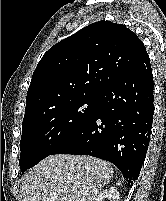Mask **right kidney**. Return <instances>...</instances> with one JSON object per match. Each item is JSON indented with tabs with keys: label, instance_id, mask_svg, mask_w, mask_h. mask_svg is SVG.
Here are the masks:
<instances>
[{
	"label": "right kidney",
	"instance_id": "obj_1",
	"mask_svg": "<svg viewBox=\"0 0 166 201\" xmlns=\"http://www.w3.org/2000/svg\"><path fill=\"white\" fill-rule=\"evenodd\" d=\"M120 194L115 187H110L108 189L103 190L100 194L95 198V201H119Z\"/></svg>",
	"mask_w": 166,
	"mask_h": 201
}]
</instances>
